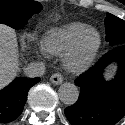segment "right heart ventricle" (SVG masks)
<instances>
[{"mask_svg":"<svg viewBox=\"0 0 125 125\" xmlns=\"http://www.w3.org/2000/svg\"><path fill=\"white\" fill-rule=\"evenodd\" d=\"M87 28V24L80 22L52 27L43 36L44 48L49 54L62 55L74 39Z\"/></svg>","mask_w":125,"mask_h":125,"instance_id":"obj_1","label":"right heart ventricle"}]
</instances>
